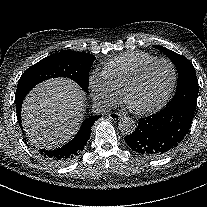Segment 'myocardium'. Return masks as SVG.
I'll list each match as a JSON object with an SVG mask.
<instances>
[{"instance_id":"f54148a6","label":"myocardium","mask_w":207,"mask_h":207,"mask_svg":"<svg viewBox=\"0 0 207 207\" xmlns=\"http://www.w3.org/2000/svg\"><path fill=\"white\" fill-rule=\"evenodd\" d=\"M157 63H166L171 67L172 70V82L170 85V88L167 92L166 98L164 102H167L173 95L176 84H177V71L174 63L167 59V58H156L145 65H143L140 70L127 82L125 85L123 92H122V100L129 109L130 112H132L135 115H143L145 114V111H139L134 108H132L128 103V97L131 91L136 87V85L142 80L145 73L155 64Z\"/></svg>"}]
</instances>
